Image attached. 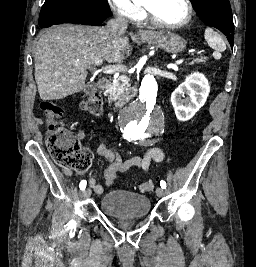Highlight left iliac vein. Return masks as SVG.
Instances as JSON below:
<instances>
[{
    "label": "left iliac vein",
    "instance_id": "4c4485c4",
    "mask_svg": "<svg viewBox=\"0 0 256 267\" xmlns=\"http://www.w3.org/2000/svg\"><path fill=\"white\" fill-rule=\"evenodd\" d=\"M164 194H165V191H164V189H163L162 187H158V188L156 189V195H157L158 197H162V196H164Z\"/></svg>",
    "mask_w": 256,
    "mask_h": 267
}]
</instances>
